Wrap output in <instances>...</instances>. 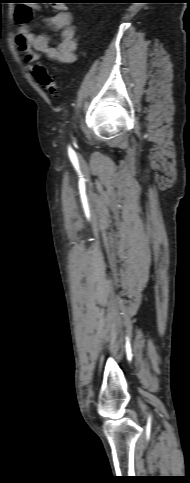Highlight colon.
Listing matches in <instances>:
<instances>
[{"mask_svg":"<svg viewBox=\"0 0 190 483\" xmlns=\"http://www.w3.org/2000/svg\"><path fill=\"white\" fill-rule=\"evenodd\" d=\"M32 75L48 92L53 95L60 94L62 85L59 80L48 73L42 64H37L32 68Z\"/></svg>","mask_w":190,"mask_h":483,"instance_id":"colon-1","label":"colon"}]
</instances>
